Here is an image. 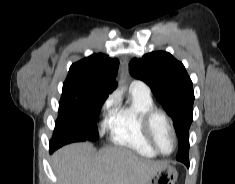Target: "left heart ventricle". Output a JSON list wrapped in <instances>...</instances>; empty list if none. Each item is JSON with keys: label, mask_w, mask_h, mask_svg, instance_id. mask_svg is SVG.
Listing matches in <instances>:
<instances>
[{"label": "left heart ventricle", "mask_w": 235, "mask_h": 184, "mask_svg": "<svg viewBox=\"0 0 235 184\" xmlns=\"http://www.w3.org/2000/svg\"><path fill=\"white\" fill-rule=\"evenodd\" d=\"M155 140L159 149L169 154L175 147V139L173 133L162 119H157L155 122Z\"/></svg>", "instance_id": "obj_1"}]
</instances>
